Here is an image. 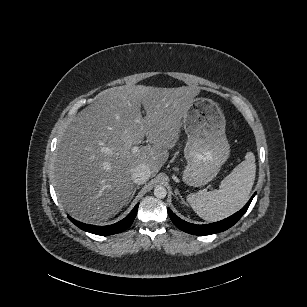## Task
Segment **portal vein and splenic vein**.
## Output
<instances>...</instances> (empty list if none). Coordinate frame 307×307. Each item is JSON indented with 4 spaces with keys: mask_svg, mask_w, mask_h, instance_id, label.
I'll use <instances>...</instances> for the list:
<instances>
[{
    "mask_svg": "<svg viewBox=\"0 0 307 307\" xmlns=\"http://www.w3.org/2000/svg\"><path fill=\"white\" fill-rule=\"evenodd\" d=\"M139 150L138 146H134L131 148V153H137ZM110 150L108 148H102L101 152H109Z\"/></svg>",
    "mask_w": 307,
    "mask_h": 307,
    "instance_id": "obj_1",
    "label": "portal vein and splenic vein"
}]
</instances>
